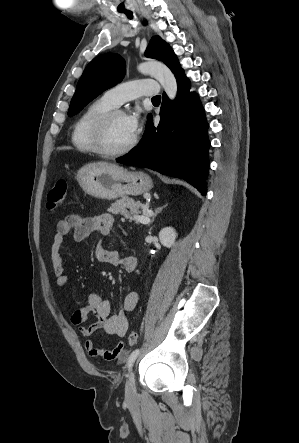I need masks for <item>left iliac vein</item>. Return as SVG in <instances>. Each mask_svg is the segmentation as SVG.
<instances>
[{"label": "left iliac vein", "instance_id": "4c4485c4", "mask_svg": "<svg viewBox=\"0 0 299 443\" xmlns=\"http://www.w3.org/2000/svg\"><path fill=\"white\" fill-rule=\"evenodd\" d=\"M125 393L127 399H132L136 395V382L133 370H130L125 385Z\"/></svg>", "mask_w": 299, "mask_h": 443}]
</instances>
